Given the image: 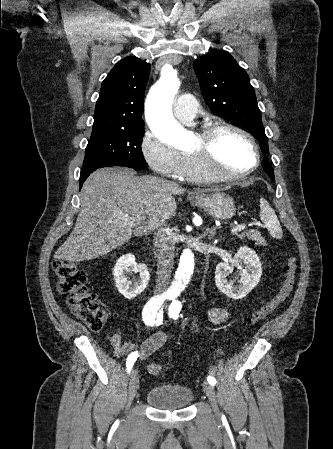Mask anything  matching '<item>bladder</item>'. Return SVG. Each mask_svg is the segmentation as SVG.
I'll list each match as a JSON object with an SVG mask.
<instances>
[{
	"instance_id": "obj_1",
	"label": "bladder",
	"mask_w": 333,
	"mask_h": 449,
	"mask_svg": "<svg viewBox=\"0 0 333 449\" xmlns=\"http://www.w3.org/2000/svg\"><path fill=\"white\" fill-rule=\"evenodd\" d=\"M194 398L190 387L181 384H158L152 386L147 394V403L160 410H177L191 405Z\"/></svg>"
}]
</instances>
